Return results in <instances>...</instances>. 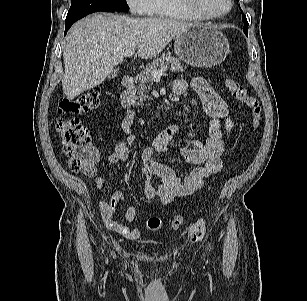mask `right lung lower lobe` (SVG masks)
Segmentation results:
<instances>
[{
  "label": "right lung lower lobe",
  "instance_id": "right-lung-lower-lobe-1",
  "mask_svg": "<svg viewBox=\"0 0 307 301\" xmlns=\"http://www.w3.org/2000/svg\"><path fill=\"white\" fill-rule=\"evenodd\" d=\"M79 19H81V18H77V19H72V20L66 21V23H65V33H64V35H66L67 30L71 27V25H72L75 21H77V20H79Z\"/></svg>",
  "mask_w": 307,
  "mask_h": 301
}]
</instances>
